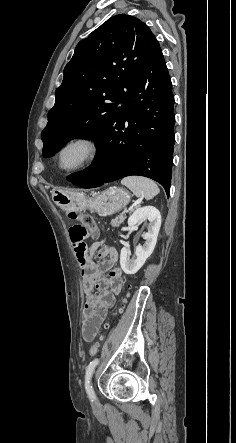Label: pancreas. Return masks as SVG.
Here are the masks:
<instances>
[{
    "label": "pancreas",
    "instance_id": "obj_1",
    "mask_svg": "<svg viewBox=\"0 0 236 443\" xmlns=\"http://www.w3.org/2000/svg\"><path fill=\"white\" fill-rule=\"evenodd\" d=\"M125 219H126V216L121 214V215L117 216L115 219H113L110 224L113 228H115V227L120 226L124 222Z\"/></svg>",
    "mask_w": 236,
    "mask_h": 443
}]
</instances>
